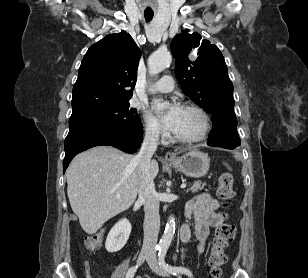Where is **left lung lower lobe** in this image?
Returning a JSON list of instances; mask_svg holds the SVG:
<instances>
[{
    "instance_id": "0a47b994",
    "label": "left lung lower lobe",
    "mask_w": 308,
    "mask_h": 278,
    "mask_svg": "<svg viewBox=\"0 0 308 278\" xmlns=\"http://www.w3.org/2000/svg\"><path fill=\"white\" fill-rule=\"evenodd\" d=\"M214 128L210 132L208 145L234 149L240 145L237 133V119L231 108L220 109L213 113Z\"/></svg>"
}]
</instances>
